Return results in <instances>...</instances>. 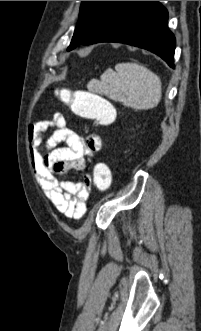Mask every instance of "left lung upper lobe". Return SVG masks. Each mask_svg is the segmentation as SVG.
<instances>
[{
  "mask_svg": "<svg viewBox=\"0 0 201 331\" xmlns=\"http://www.w3.org/2000/svg\"><path fill=\"white\" fill-rule=\"evenodd\" d=\"M120 1H83L69 50L80 45Z\"/></svg>",
  "mask_w": 201,
  "mask_h": 331,
  "instance_id": "1",
  "label": "left lung upper lobe"
}]
</instances>
